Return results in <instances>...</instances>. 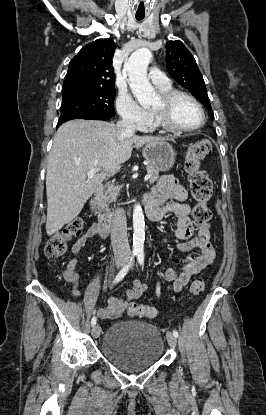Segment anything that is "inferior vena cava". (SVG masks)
Here are the masks:
<instances>
[{
  "label": "inferior vena cava",
  "instance_id": "obj_1",
  "mask_svg": "<svg viewBox=\"0 0 266 415\" xmlns=\"http://www.w3.org/2000/svg\"><path fill=\"white\" fill-rule=\"evenodd\" d=\"M118 134L121 137L133 135L135 132V125L129 119L123 118L117 124ZM111 243L116 258L131 256V250L127 237V221L125 211L118 208L112 219L111 225Z\"/></svg>",
  "mask_w": 266,
  "mask_h": 415
}]
</instances>
